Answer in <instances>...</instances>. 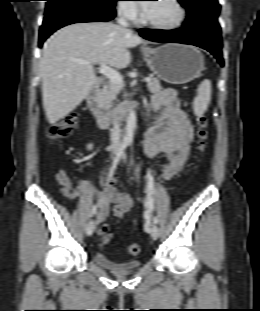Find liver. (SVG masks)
<instances>
[{
  "label": "liver",
  "instance_id": "1",
  "mask_svg": "<svg viewBox=\"0 0 260 311\" xmlns=\"http://www.w3.org/2000/svg\"><path fill=\"white\" fill-rule=\"evenodd\" d=\"M143 42L129 29L107 22L74 23L54 33L45 43L39 63L49 123L63 119L88 96L96 83L93 65L126 68L132 60L128 49Z\"/></svg>",
  "mask_w": 260,
  "mask_h": 311
}]
</instances>
